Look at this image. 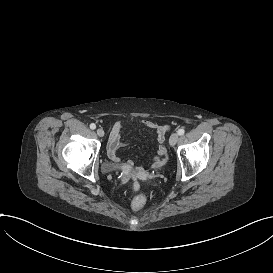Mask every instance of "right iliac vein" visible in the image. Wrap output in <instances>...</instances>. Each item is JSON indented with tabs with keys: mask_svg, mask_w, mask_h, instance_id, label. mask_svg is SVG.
<instances>
[{
	"mask_svg": "<svg viewBox=\"0 0 273 273\" xmlns=\"http://www.w3.org/2000/svg\"><path fill=\"white\" fill-rule=\"evenodd\" d=\"M96 133H97V135L100 136V137H103V136H104V130L101 129V128L97 129V130H96Z\"/></svg>",
	"mask_w": 273,
	"mask_h": 273,
	"instance_id": "obj_1",
	"label": "right iliac vein"
}]
</instances>
